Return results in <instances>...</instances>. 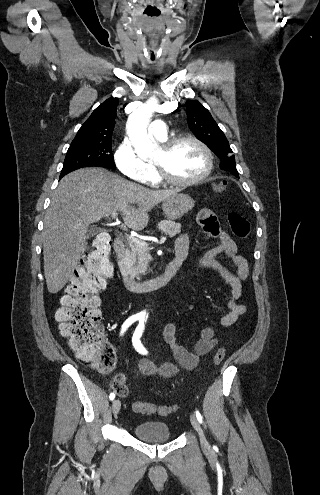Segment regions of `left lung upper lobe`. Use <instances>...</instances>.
Instances as JSON below:
<instances>
[{"label": "left lung upper lobe", "instance_id": "1", "mask_svg": "<svg viewBox=\"0 0 320 495\" xmlns=\"http://www.w3.org/2000/svg\"><path fill=\"white\" fill-rule=\"evenodd\" d=\"M186 109L189 127L196 138L205 143L218 156L221 160V169L239 177L229 142L210 112L196 100H188Z\"/></svg>", "mask_w": 320, "mask_h": 495}]
</instances>
